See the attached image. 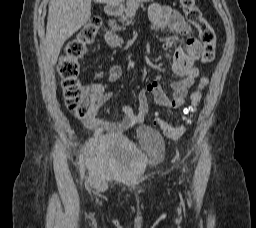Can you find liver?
<instances>
[{"instance_id": "obj_1", "label": "liver", "mask_w": 256, "mask_h": 228, "mask_svg": "<svg viewBox=\"0 0 256 228\" xmlns=\"http://www.w3.org/2000/svg\"><path fill=\"white\" fill-rule=\"evenodd\" d=\"M113 6L124 0H94ZM92 0H50L46 26V51L52 64L57 62L64 42L91 17Z\"/></svg>"}]
</instances>
